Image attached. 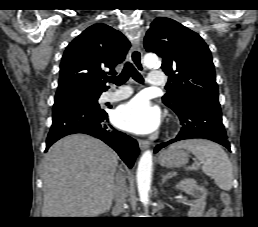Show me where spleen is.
I'll return each instance as SVG.
<instances>
[{"label":"spleen","mask_w":258,"mask_h":227,"mask_svg":"<svg viewBox=\"0 0 258 227\" xmlns=\"http://www.w3.org/2000/svg\"><path fill=\"white\" fill-rule=\"evenodd\" d=\"M184 148L202 163L201 169L215 180L216 185L225 191L232 188L233 168L226 152L216 143L204 139H188L172 144L169 149ZM187 169H195L188 167Z\"/></svg>","instance_id":"spleen-1"}]
</instances>
